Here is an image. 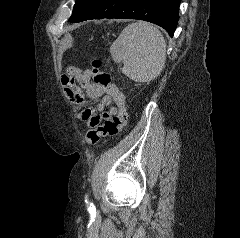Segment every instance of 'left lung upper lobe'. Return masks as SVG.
Returning <instances> with one entry per match:
<instances>
[{
	"mask_svg": "<svg viewBox=\"0 0 240 238\" xmlns=\"http://www.w3.org/2000/svg\"><path fill=\"white\" fill-rule=\"evenodd\" d=\"M90 1L91 0H76L69 22L75 20L83 13Z\"/></svg>",
	"mask_w": 240,
	"mask_h": 238,
	"instance_id": "obj_1",
	"label": "left lung upper lobe"
}]
</instances>
